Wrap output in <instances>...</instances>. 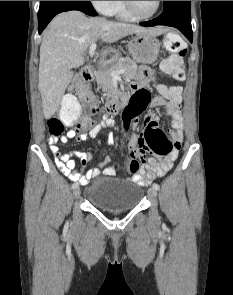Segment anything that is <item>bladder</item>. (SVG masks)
Returning <instances> with one entry per match:
<instances>
[{"label": "bladder", "mask_w": 233, "mask_h": 295, "mask_svg": "<svg viewBox=\"0 0 233 295\" xmlns=\"http://www.w3.org/2000/svg\"><path fill=\"white\" fill-rule=\"evenodd\" d=\"M143 195L144 191L139 185L120 178H97L89 182L85 189L88 201L110 212L134 209Z\"/></svg>", "instance_id": "1"}]
</instances>
